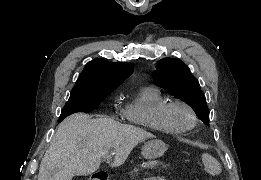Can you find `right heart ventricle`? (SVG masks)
<instances>
[{"label": "right heart ventricle", "instance_id": "right-heart-ventricle-1", "mask_svg": "<svg viewBox=\"0 0 261 180\" xmlns=\"http://www.w3.org/2000/svg\"><path fill=\"white\" fill-rule=\"evenodd\" d=\"M168 103L166 96L157 88H142L134 97L126 101L121 107V121L131 122V127H144V131L157 133V138L168 141L184 139L185 132L167 130L159 117L162 107Z\"/></svg>", "mask_w": 261, "mask_h": 180}]
</instances>
